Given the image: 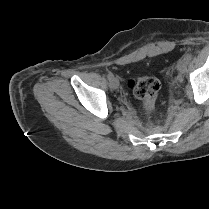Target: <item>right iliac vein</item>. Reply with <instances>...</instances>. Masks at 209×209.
I'll list each match as a JSON object with an SVG mask.
<instances>
[{"label": "right iliac vein", "instance_id": "obj_1", "mask_svg": "<svg viewBox=\"0 0 209 209\" xmlns=\"http://www.w3.org/2000/svg\"><path fill=\"white\" fill-rule=\"evenodd\" d=\"M109 85H110V88L111 89H117L118 88V86H119V80L116 78V77H113L111 80H110V83H109Z\"/></svg>", "mask_w": 209, "mask_h": 209}]
</instances>
